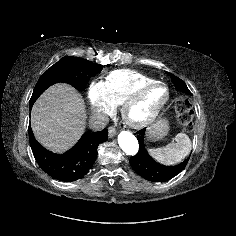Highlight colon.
I'll use <instances>...</instances> for the list:
<instances>
[{"label": "colon", "instance_id": "colon-1", "mask_svg": "<svg viewBox=\"0 0 236 236\" xmlns=\"http://www.w3.org/2000/svg\"><path fill=\"white\" fill-rule=\"evenodd\" d=\"M175 109L179 123L186 129H192V108L189 101L185 99L177 100Z\"/></svg>", "mask_w": 236, "mask_h": 236}]
</instances>
